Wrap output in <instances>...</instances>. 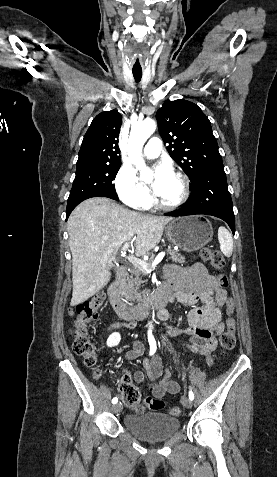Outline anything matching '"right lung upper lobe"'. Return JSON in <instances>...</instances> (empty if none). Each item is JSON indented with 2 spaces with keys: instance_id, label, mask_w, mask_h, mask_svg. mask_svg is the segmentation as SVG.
Wrapping results in <instances>:
<instances>
[{
  "instance_id": "right-lung-upper-lobe-1",
  "label": "right lung upper lobe",
  "mask_w": 277,
  "mask_h": 477,
  "mask_svg": "<svg viewBox=\"0 0 277 477\" xmlns=\"http://www.w3.org/2000/svg\"><path fill=\"white\" fill-rule=\"evenodd\" d=\"M121 124L122 116L117 110L98 114L84 136L76 168L121 164L118 147Z\"/></svg>"
}]
</instances>
